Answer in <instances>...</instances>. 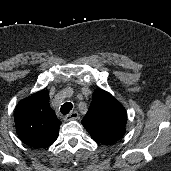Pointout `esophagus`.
I'll use <instances>...</instances> for the list:
<instances>
[{
  "mask_svg": "<svg viewBox=\"0 0 171 171\" xmlns=\"http://www.w3.org/2000/svg\"><path fill=\"white\" fill-rule=\"evenodd\" d=\"M79 118V114L76 111L71 112L70 114L66 115L64 117V121H70V120H75Z\"/></svg>",
  "mask_w": 171,
  "mask_h": 171,
  "instance_id": "34e87169",
  "label": "esophagus"
}]
</instances>
